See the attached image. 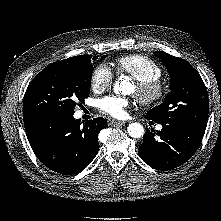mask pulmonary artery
<instances>
[{
	"label": "pulmonary artery",
	"instance_id": "pulmonary-artery-1",
	"mask_svg": "<svg viewBox=\"0 0 221 221\" xmlns=\"http://www.w3.org/2000/svg\"><path fill=\"white\" fill-rule=\"evenodd\" d=\"M157 128H158V130H161V129H162V126H158Z\"/></svg>",
	"mask_w": 221,
	"mask_h": 221
}]
</instances>
